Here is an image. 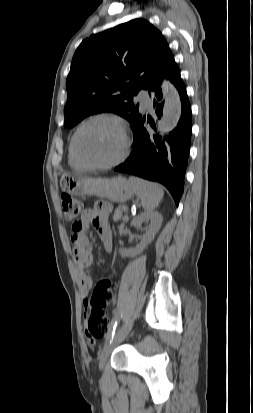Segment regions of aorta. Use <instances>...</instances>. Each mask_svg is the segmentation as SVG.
Segmentation results:
<instances>
[{
	"label": "aorta",
	"instance_id": "aorta-1",
	"mask_svg": "<svg viewBox=\"0 0 253 413\" xmlns=\"http://www.w3.org/2000/svg\"><path fill=\"white\" fill-rule=\"evenodd\" d=\"M162 93L165 99L163 115L161 119V129L164 132L172 131L181 116V100L178 91L169 81L162 84Z\"/></svg>",
	"mask_w": 253,
	"mask_h": 413
}]
</instances>
